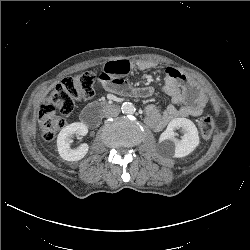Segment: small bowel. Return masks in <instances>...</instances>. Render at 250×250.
<instances>
[{
    "label": "small bowel",
    "instance_id": "small-bowel-1",
    "mask_svg": "<svg viewBox=\"0 0 250 250\" xmlns=\"http://www.w3.org/2000/svg\"><path fill=\"white\" fill-rule=\"evenodd\" d=\"M150 66L148 62L110 61L103 66L99 79L105 88L114 93L148 97L154 92L153 87L134 88L123 77L136 69L144 70ZM164 72L163 91L171 97L172 103L165 109L155 105H148L145 109L146 121L156 131L162 130L174 119L201 115L206 103L203 93L184 73L170 67Z\"/></svg>",
    "mask_w": 250,
    "mask_h": 250
}]
</instances>
